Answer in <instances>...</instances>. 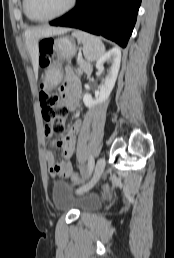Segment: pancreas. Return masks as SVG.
Returning <instances> with one entry per match:
<instances>
[{
  "label": "pancreas",
  "mask_w": 174,
  "mask_h": 258,
  "mask_svg": "<svg viewBox=\"0 0 174 258\" xmlns=\"http://www.w3.org/2000/svg\"><path fill=\"white\" fill-rule=\"evenodd\" d=\"M77 73L81 75L83 72L89 74L92 70V66L90 63H87L82 58L77 59Z\"/></svg>",
  "instance_id": "cf45deb5"
}]
</instances>
